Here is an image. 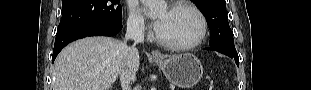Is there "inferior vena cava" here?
Masks as SVG:
<instances>
[{"label": "inferior vena cava", "mask_w": 311, "mask_h": 90, "mask_svg": "<svg viewBox=\"0 0 311 90\" xmlns=\"http://www.w3.org/2000/svg\"><path fill=\"white\" fill-rule=\"evenodd\" d=\"M133 40L134 44H129V48L126 49V53H124V60L126 61L128 69L122 74L124 80L135 81L136 80V71L138 60H137V51H136V43L144 42V33L142 26L139 23H129L127 24V30L125 34V41Z\"/></svg>", "instance_id": "obj_1"}]
</instances>
